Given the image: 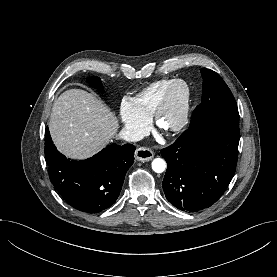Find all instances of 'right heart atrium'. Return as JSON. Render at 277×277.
Segmentation results:
<instances>
[{
	"label": "right heart atrium",
	"instance_id": "d8ad5b80",
	"mask_svg": "<svg viewBox=\"0 0 277 277\" xmlns=\"http://www.w3.org/2000/svg\"><path fill=\"white\" fill-rule=\"evenodd\" d=\"M120 117L125 133L129 137L139 136L148 125V120L136 112L132 101L128 98L123 99L121 102Z\"/></svg>",
	"mask_w": 277,
	"mask_h": 277
}]
</instances>
